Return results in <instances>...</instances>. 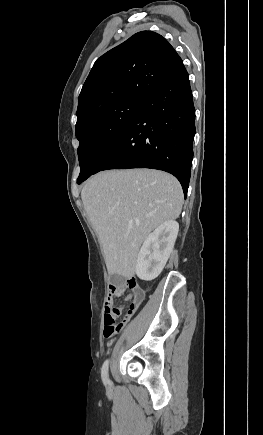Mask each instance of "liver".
<instances>
[{
  "mask_svg": "<svg viewBox=\"0 0 263 435\" xmlns=\"http://www.w3.org/2000/svg\"><path fill=\"white\" fill-rule=\"evenodd\" d=\"M81 198L108 273L131 278L143 241L162 223L179 217L183 191L166 172L107 170L86 181Z\"/></svg>",
  "mask_w": 263,
  "mask_h": 435,
  "instance_id": "obj_1",
  "label": "liver"
}]
</instances>
